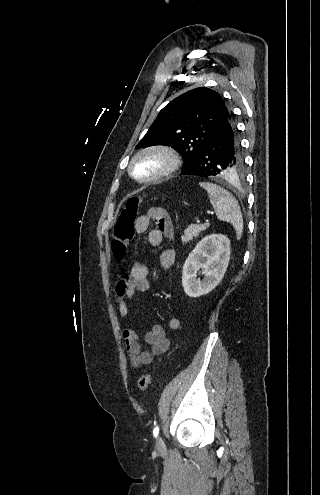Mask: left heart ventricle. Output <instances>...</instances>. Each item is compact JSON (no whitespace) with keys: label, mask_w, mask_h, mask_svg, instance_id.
<instances>
[{"label":"left heart ventricle","mask_w":320,"mask_h":495,"mask_svg":"<svg viewBox=\"0 0 320 495\" xmlns=\"http://www.w3.org/2000/svg\"><path fill=\"white\" fill-rule=\"evenodd\" d=\"M162 165L163 162L158 157H145L135 164L134 170L137 175L146 177L159 171Z\"/></svg>","instance_id":"b2bd125f"}]
</instances>
